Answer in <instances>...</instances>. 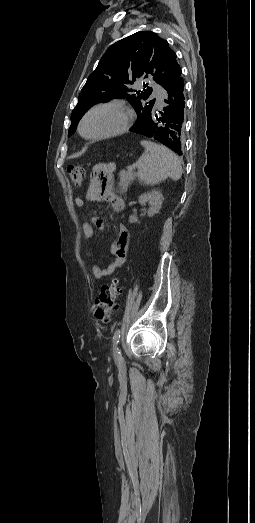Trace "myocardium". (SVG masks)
Listing matches in <instances>:
<instances>
[{
	"mask_svg": "<svg viewBox=\"0 0 255 523\" xmlns=\"http://www.w3.org/2000/svg\"><path fill=\"white\" fill-rule=\"evenodd\" d=\"M99 109H112L114 111H117L125 116V121H124L123 125L116 131L106 133L103 135H99V136H87L83 132L84 123H85L87 117L92 112L99 110ZM135 120H136V112L132 107H130L128 105L121 104V103H100V104H96V105L90 107L83 114V116L81 117V119L79 121L78 131H79V134L84 139L89 140V141L107 140V139L115 138V137L121 136L123 134H126L133 126Z\"/></svg>",
	"mask_w": 255,
	"mask_h": 523,
	"instance_id": "f54148a6",
	"label": "myocardium"
}]
</instances>
